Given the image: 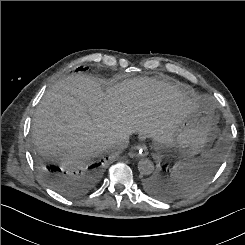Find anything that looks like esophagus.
<instances>
[{"mask_svg":"<svg viewBox=\"0 0 245 245\" xmlns=\"http://www.w3.org/2000/svg\"><path fill=\"white\" fill-rule=\"evenodd\" d=\"M146 155H148V149L145 145H137L134 148H132V151L129 153L130 157Z\"/></svg>","mask_w":245,"mask_h":245,"instance_id":"1","label":"esophagus"}]
</instances>
